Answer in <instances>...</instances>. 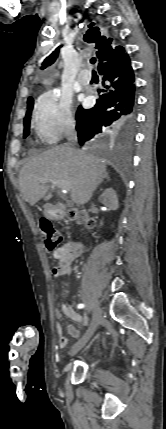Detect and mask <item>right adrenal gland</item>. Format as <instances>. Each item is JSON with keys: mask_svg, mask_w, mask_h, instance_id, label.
Here are the masks:
<instances>
[{"mask_svg": "<svg viewBox=\"0 0 166 429\" xmlns=\"http://www.w3.org/2000/svg\"><path fill=\"white\" fill-rule=\"evenodd\" d=\"M105 179L107 180V181H110V177L108 176V175H106L105 176ZM101 183V182H100Z\"/></svg>", "mask_w": 166, "mask_h": 429, "instance_id": "obj_1", "label": "right adrenal gland"}]
</instances>
